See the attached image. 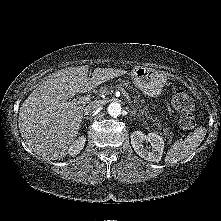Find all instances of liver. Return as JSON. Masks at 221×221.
<instances>
[{"label": "liver", "instance_id": "1", "mask_svg": "<svg viewBox=\"0 0 221 221\" xmlns=\"http://www.w3.org/2000/svg\"><path fill=\"white\" fill-rule=\"evenodd\" d=\"M87 65L70 67L44 80L19 110V130L35 154L60 160L68 154L83 118L84 105L70 102L76 93H85L126 73L113 68H96L88 77Z\"/></svg>", "mask_w": 221, "mask_h": 221}]
</instances>
